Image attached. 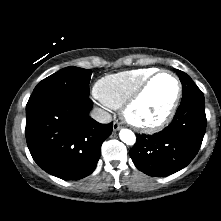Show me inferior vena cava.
Instances as JSON below:
<instances>
[{
	"label": "inferior vena cava",
	"instance_id": "1",
	"mask_svg": "<svg viewBox=\"0 0 221 221\" xmlns=\"http://www.w3.org/2000/svg\"><path fill=\"white\" fill-rule=\"evenodd\" d=\"M91 117L95 119L96 121L100 123H105V124L110 123L112 120L111 115L108 112L100 108L93 109L91 112Z\"/></svg>",
	"mask_w": 221,
	"mask_h": 221
}]
</instances>
